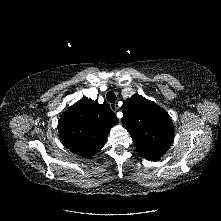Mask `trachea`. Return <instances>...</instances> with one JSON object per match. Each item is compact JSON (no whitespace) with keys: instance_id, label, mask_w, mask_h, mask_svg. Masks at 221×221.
I'll return each mask as SVG.
<instances>
[{"instance_id":"1","label":"trachea","mask_w":221,"mask_h":221,"mask_svg":"<svg viewBox=\"0 0 221 221\" xmlns=\"http://www.w3.org/2000/svg\"><path fill=\"white\" fill-rule=\"evenodd\" d=\"M106 99H107L108 102H111V103L115 102V101H116V95H115V93L112 92V91H109V92L106 94Z\"/></svg>"}]
</instances>
